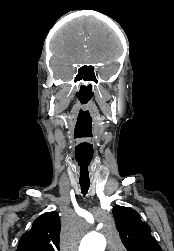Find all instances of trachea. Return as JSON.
Segmentation results:
<instances>
[{"label":"trachea","instance_id":"obj_1","mask_svg":"<svg viewBox=\"0 0 174 251\" xmlns=\"http://www.w3.org/2000/svg\"><path fill=\"white\" fill-rule=\"evenodd\" d=\"M80 186H81L82 194L86 195L90 186V182H80Z\"/></svg>","mask_w":174,"mask_h":251}]
</instances>
